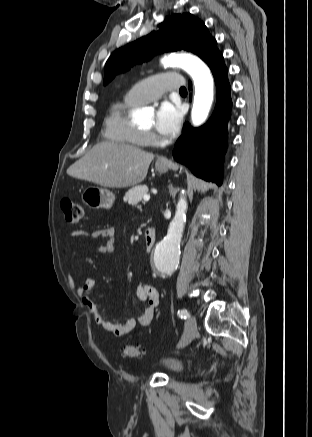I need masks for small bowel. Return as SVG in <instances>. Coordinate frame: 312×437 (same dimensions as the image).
<instances>
[{
	"label": "small bowel",
	"instance_id": "small-bowel-1",
	"mask_svg": "<svg viewBox=\"0 0 312 437\" xmlns=\"http://www.w3.org/2000/svg\"><path fill=\"white\" fill-rule=\"evenodd\" d=\"M70 235L74 240L80 237L91 239L103 238L105 239V244L99 247L100 251L111 253L115 249L116 230L112 226L104 227L92 232L82 230L72 231ZM96 287L97 280L93 277H88L83 286L76 287V291L83 304L92 313L95 322L107 332L120 337L133 330L137 325L149 326L151 324L159 305V293L154 286L146 283L139 284L137 286L136 296L140 301L145 302L146 306L141 314L137 315L136 317L128 318L121 323L112 322L105 318L104 314L100 310V307L92 296V291Z\"/></svg>",
	"mask_w": 312,
	"mask_h": 437
}]
</instances>
